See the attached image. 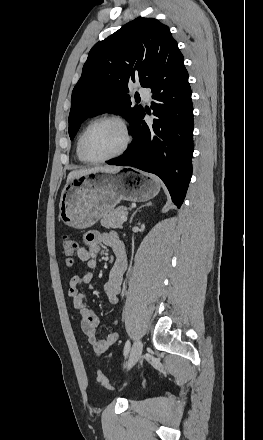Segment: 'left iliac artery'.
Instances as JSON below:
<instances>
[{"instance_id":"44dca946","label":"left iliac artery","mask_w":263,"mask_h":440,"mask_svg":"<svg viewBox=\"0 0 263 440\" xmlns=\"http://www.w3.org/2000/svg\"><path fill=\"white\" fill-rule=\"evenodd\" d=\"M130 351V341L127 340L124 346V356H126Z\"/></svg>"}]
</instances>
